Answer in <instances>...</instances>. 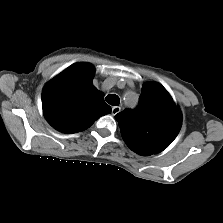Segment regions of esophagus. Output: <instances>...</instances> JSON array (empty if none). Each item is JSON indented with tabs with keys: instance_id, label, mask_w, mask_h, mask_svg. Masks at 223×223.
I'll return each instance as SVG.
<instances>
[{
	"instance_id": "1",
	"label": "esophagus",
	"mask_w": 223,
	"mask_h": 223,
	"mask_svg": "<svg viewBox=\"0 0 223 223\" xmlns=\"http://www.w3.org/2000/svg\"><path fill=\"white\" fill-rule=\"evenodd\" d=\"M120 111H121V107H120V106H114V107H112V110H111L112 115H116V114H118Z\"/></svg>"
}]
</instances>
